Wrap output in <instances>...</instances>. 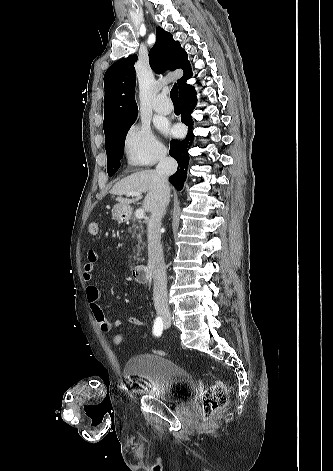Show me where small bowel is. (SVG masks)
Here are the masks:
<instances>
[{
	"mask_svg": "<svg viewBox=\"0 0 333 471\" xmlns=\"http://www.w3.org/2000/svg\"><path fill=\"white\" fill-rule=\"evenodd\" d=\"M101 259L100 254H98L94 250H90L87 254V261L83 266V279L87 283L86 287V297L89 303V307L93 318L95 319L99 329L101 332L107 333L110 332L114 328H118L122 324L121 319H116L113 322H110L101 305L100 300L102 298V294L100 289L92 283L93 274L95 270V264ZM126 321L133 326H142L144 322L134 316H127Z\"/></svg>",
	"mask_w": 333,
	"mask_h": 471,
	"instance_id": "1",
	"label": "small bowel"
}]
</instances>
